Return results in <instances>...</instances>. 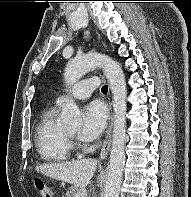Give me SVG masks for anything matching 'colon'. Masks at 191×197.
Returning a JSON list of instances; mask_svg holds the SVG:
<instances>
[{"label":"colon","mask_w":191,"mask_h":197,"mask_svg":"<svg viewBox=\"0 0 191 197\" xmlns=\"http://www.w3.org/2000/svg\"><path fill=\"white\" fill-rule=\"evenodd\" d=\"M36 190L39 197H52L50 187L40 179L36 180Z\"/></svg>","instance_id":"obj_1"}]
</instances>
